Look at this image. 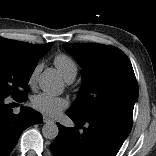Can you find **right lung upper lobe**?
I'll list each match as a JSON object with an SVG mask.
<instances>
[{
    "label": "right lung upper lobe",
    "mask_w": 156,
    "mask_h": 156,
    "mask_svg": "<svg viewBox=\"0 0 156 156\" xmlns=\"http://www.w3.org/2000/svg\"><path fill=\"white\" fill-rule=\"evenodd\" d=\"M51 46L52 42L44 45H34L0 37V49L16 53L29 62L38 63V60L48 52Z\"/></svg>",
    "instance_id": "obj_1"
}]
</instances>
